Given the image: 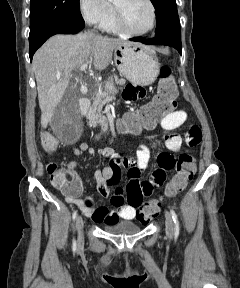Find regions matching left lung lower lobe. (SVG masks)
<instances>
[{
	"instance_id": "0a47b994",
	"label": "left lung lower lobe",
	"mask_w": 240,
	"mask_h": 288,
	"mask_svg": "<svg viewBox=\"0 0 240 288\" xmlns=\"http://www.w3.org/2000/svg\"><path fill=\"white\" fill-rule=\"evenodd\" d=\"M135 42H141L144 44H162L174 47L180 54L181 49V34L165 33L156 35L154 38L143 39V38H132L130 39Z\"/></svg>"
}]
</instances>
